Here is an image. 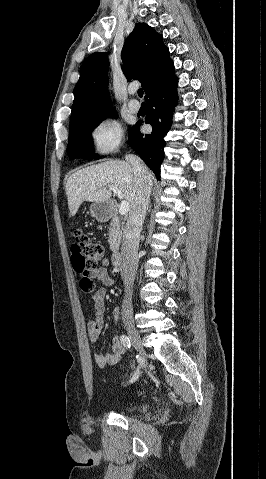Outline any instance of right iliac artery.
<instances>
[{"mask_svg": "<svg viewBox=\"0 0 266 479\" xmlns=\"http://www.w3.org/2000/svg\"><path fill=\"white\" fill-rule=\"evenodd\" d=\"M120 341L121 343L124 345V347H126L127 349H130L131 347V342H130V339L126 336V335H121L120 336ZM139 370L133 375V377L130 379V383H133L135 382L138 377H139Z\"/></svg>", "mask_w": 266, "mask_h": 479, "instance_id": "obj_1", "label": "right iliac artery"}]
</instances>
